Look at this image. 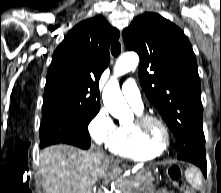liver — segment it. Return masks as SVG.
<instances>
[{
  "label": "liver",
  "instance_id": "1",
  "mask_svg": "<svg viewBox=\"0 0 221 193\" xmlns=\"http://www.w3.org/2000/svg\"><path fill=\"white\" fill-rule=\"evenodd\" d=\"M118 161L101 150L85 151L59 144L40 155L46 193H93L98 178L114 173Z\"/></svg>",
  "mask_w": 221,
  "mask_h": 193
}]
</instances>
